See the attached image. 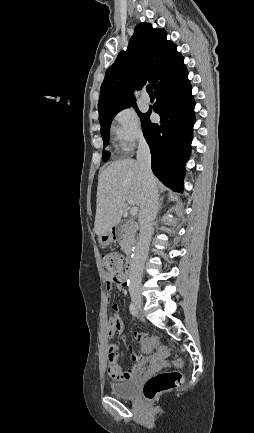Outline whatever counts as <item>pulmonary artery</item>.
<instances>
[{"label": "pulmonary artery", "mask_w": 254, "mask_h": 433, "mask_svg": "<svg viewBox=\"0 0 254 433\" xmlns=\"http://www.w3.org/2000/svg\"><path fill=\"white\" fill-rule=\"evenodd\" d=\"M142 99H143V101H144L145 103H149V102H150V98H149V96H148L147 93H144V94H143Z\"/></svg>", "instance_id": "1"}]
</instances>
